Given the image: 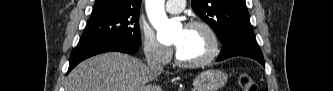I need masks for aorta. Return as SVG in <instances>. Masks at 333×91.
Segmentation results:
<instances>
[{
  "instance_id": "1",
  "label": "aorta",
  "mask_w": 333,
  "mask_h": 91,
  "mask_svg": "<svg viewBox=\"0 0 333 91\" xmlns=\"http://www.w3.org/2000/svg\"><path fill=\"white\" fill-rule=\"evenodd\" d=\"M164 2L165 0H146V11L151 24L157 31V39L160 42H171L174 40L178 25L167 18Z\"/></svg>"
}]
</instances>
